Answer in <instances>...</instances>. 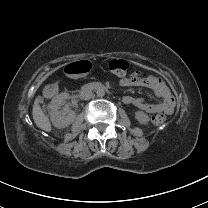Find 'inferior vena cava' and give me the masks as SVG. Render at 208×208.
<instances>
[{"instance_id": "1", "label": "inferior vena cava", "mask_w": 208, "mask_h": 208, "mask_svg": "<svg viewBox=\"0 0 208 208\" xmlns=\"http://www.w3.org/2000/svg\"><path fill=\"white\" fill-rule=\"evenodd\" d=\"M79 97L82 100H89L92 98V91L88 88H82Z\"/></svg>"}]
</instances>
